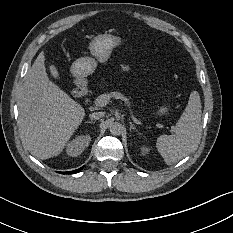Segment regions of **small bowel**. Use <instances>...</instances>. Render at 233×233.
Instances as JSON below:
<instances>
[{
  "instance_id": "1",
  "label": "small bowel",
  "mask_w": 233,
  "mask_h": 233,
  "mask_svg": "<svg viewBox=\"0 0 233 233\" xmlns=\"http://www.w3.org/2000/svg\"><path fill=\"white\" fill-rule=\"evenodd\" d=\"M129 65H127V64H123V65H121V67H120V69L122 70V71H128L129 70Z\"/></svg>"
}]
</instances>
